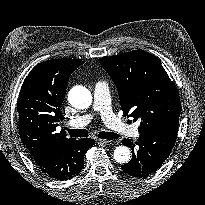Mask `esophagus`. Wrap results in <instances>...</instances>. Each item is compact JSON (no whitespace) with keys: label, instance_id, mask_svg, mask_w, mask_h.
Listing matches in <instances>:
<instances>
[{"label":"esophagus","instance_id":"esophagus-1","mask_svg":"<svg viewBox=\"0 0 205 205\" xmlns=\"http://www.w3.org/2000/svg\"><path fill=\"white\" fill-rule=\"evenodd\" d=\"M97 141H98V143L103 144V145H107L111 142L109 140H104V139H97Z\"/></svg>","mask_w":205,"mask_h":205}]
</instances>
